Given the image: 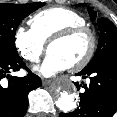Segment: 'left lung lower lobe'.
Wrapping results in <instances>:
<instances>
[{"mask_svg": "<svg viewBox=\"0 0 117 117\" xmlns=\"http://www.w3.org/2000/svg\"><path fill=\"white\" fill-rule=\"evenodd\" d=\"M76 75L90 78L84 93H80L79 108L72 113H60V117H112L117 111V52L95 67ZM77 89L80 86L75 83Z\"/></svg>", "mask_w": 117, "mask_h": 117, "instance_id": "left-lung-lower-lobe-1", "label": "left lung lower lobe"}]
</instances>
